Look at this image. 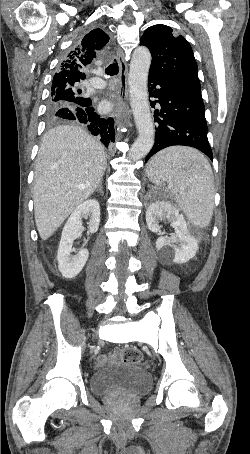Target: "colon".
Returning a JSON list of instances; mask_svg holds the SVG:
<instances>
[{"label": "colon", "instance_id": "5ec220e1", "mask_svg": "<svg viewBox=\"0 0 250 454\" xmlns=\"http://www.w3.org/2000/svg\"><path fill=\"white\" fill-rule=\"evenodd\" d=\"M120 355L124 362L130 364H139L143 359L141 352L134 347L124 348L120 351Z\"/></svg>", "mask_w": 250, "mask_h": 454}]
</instances>
